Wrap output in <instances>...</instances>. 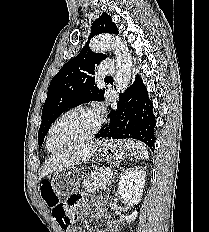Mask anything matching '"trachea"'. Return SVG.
Instances as JSON below:
<instances>
[{
    "label": "trachea",
    "instance_id": "1",
    "mask_svg": "<svg viewBox=\"0 0 209 232\" xmlns=\"http://www.w3.org/2000/svg\"><path fill=\"white\" fill-rule=\"evenodd\" d=\"M105 79H111V77H106Z\"/></svg>",
    "mask_w": 209,
    "mask_h": 232
}]
</instances>
